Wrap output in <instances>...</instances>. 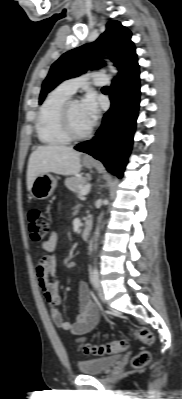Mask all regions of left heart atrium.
Instances as JSON below:
<instances>
[{"label":"left heart atrium","instance_id":"left-heart-atrium-1","mask_svg":"<svg viewBox=\"0 0 182 399\" xmlns=\"http://www.w3.org/2000/svg\"><path fill=\"white\" fill-rule=\"evenodd\" d=\"M80 105L83 116L88 124L92 126L99 116V107L96 96L92 93L87 94Z\"/></svg>","mask_w":182,"mask_h":399}]
</instances>
